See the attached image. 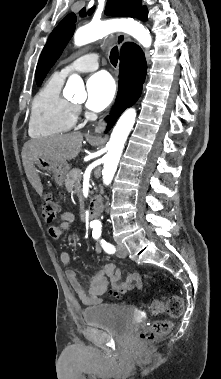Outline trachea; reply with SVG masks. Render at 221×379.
<instances>
[{"mask_svg": "<svg viewBox=\"0 0 221 379\" xmlns=\"http://www.w3.org/2000/svg\"><path fill=\"white\" fill-rule=\"evenodd\" d=\"M110 62L112 63L113 66L116 67L117 62H118V48L117 47L112 48L110 52Z\"/></svg>", "mask_w": 221, "mask_h": 379, "instance_id": "obj_1", "label": "trachea"}]
</instances>
